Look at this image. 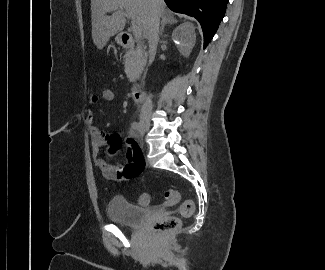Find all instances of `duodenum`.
Listing matches in <instances>:
<instances>
[{
    "label": "duodenum",
    "instance_id": "obj_1",
    "mask_svg": "<svg viewBox=\"0 0 325 270\" xmlns=\"http://www.w3.org/2000/svg\"><path fill=\"white\" fill-rule=\"evenodd\" d=\"M122 41L124 43L125 47H132L135 45V39L134 37L127 32H123L121 35ZM132 96H133V100L136 103H141L143 101V89L141 86L137 85L133 88L132 90Z\"/></svg>",
    "mask_w": 325,
    "mask_h": 270
}]
</instances>
